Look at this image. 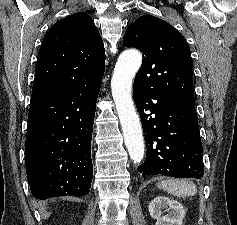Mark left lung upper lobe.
Here are the masks:
<instances>
[{
  "label": "left lung upper lobe",
  "instance_id": "obj_1",
  "mask_svg": "<svg viewBox=\"0 0 237 225\" xmlns=\"http://www.w3.org/2000/svg\"><path fill=\"white\" fill-rule=\"evenodd\" d=\"M123 44L143 53L134 85L170 98L194 99L190 48L180 32L152 15H143L125 32Z\"/></svg>",
  "mask_w": 237,
  "mask_h": 225
}]
</instances>
